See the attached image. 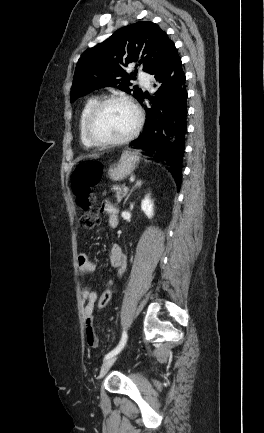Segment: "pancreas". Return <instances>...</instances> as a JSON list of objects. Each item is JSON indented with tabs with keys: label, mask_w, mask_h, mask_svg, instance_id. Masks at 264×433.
<instances>
[{
	"label": "pancreas",
	"mask_w": 264,
	"mask_h": 433,
	"mask_svg": "<svg viewBox=\"0 0 264 433\" xmlns=\"http://www.w3.org/2000/svg\"><path fill=\"white\" fill-rule=\"evenodd\" d=\"M115 191H116L117 201L120 202L122 198L126 195V193L124 192V187H117Z\"/></svg>",
	"instance_id": "cf45deb5"
}]
</instances>
